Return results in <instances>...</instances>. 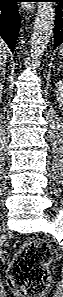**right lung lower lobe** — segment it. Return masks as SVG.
Wrapping results in <instances>:
<instances>
[{
    "instance_id": "1",
    "label": "right lung lower lobe",
    "mask_w": 63,
    "mask_h": 297,
    "mask_svg": "<svg viewBox=\"0 0 63 297\" xmlns=\"http://www.w3.org/2000/svg\"><path fill=\"white\" fill-rule=\"evenodd\" d=\"M17 0H1L0 3V37L13 52L20 29V16Z\"/></svg>"
}]
</instances>
